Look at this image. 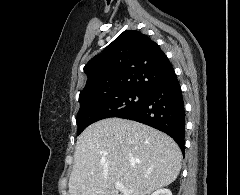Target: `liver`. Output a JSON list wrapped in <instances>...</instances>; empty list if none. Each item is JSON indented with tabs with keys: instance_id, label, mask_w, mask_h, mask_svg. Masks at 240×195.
<instances>
[{
	"instance_id": "liver-1",
	"label": "liver",
	"mask_w": 240,
	"mask_h": 195,
	"mask_svg": "<svg viewBox=\"0 0 240 195\" xmlns=\"http://www.w3.org/2000/svg\"><path fill=\"white\" fill-rule=\"evenodd\" d=\"M181 161L179 145L163 131L131 119H100L77 139L69 195H149L176 179ZM115 181L132 193H119Z\"/></svg>"
}]
</instances>
